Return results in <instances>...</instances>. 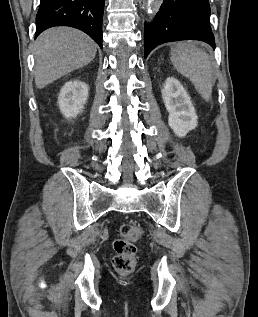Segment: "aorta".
<instances>
[{
    "instance_id": "aorta-1",
    "label": "aorta",
    "mask_w": 258,
    "mask_h": 317,
    "mask_svg": "<svg viewBox=\"0 0 258 317\" xmlns=\"http://www.w3.org/2000/svg\"><path fill=\"white\" fill-rule=\"evenodd\" d=\"M153 1H154V0H148V6H150Z\"/></svg>"
}]
</instances>
